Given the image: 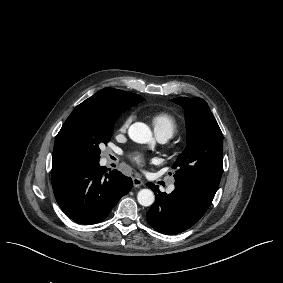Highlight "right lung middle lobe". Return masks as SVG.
<instances>
[{
    "label": "right lung middle lobe",
    "instance_id": "obj_1",
    "mask_svg": "<svg viewBox=\"0 0 283 283\" xmlns=\"http://www.w3.org/2000/svg\"><path fill=\"white\" fill-rule=\"evenodd\" d=\"M125 111L126 109H122L121 112L110 117L82 120L75 125L72 135L75 147L84 164L99 162V146L110 141L114 131V122Z\"/></svg>",
    "mask_w": 283,
    "mask_h": 283
}]
</instances>
